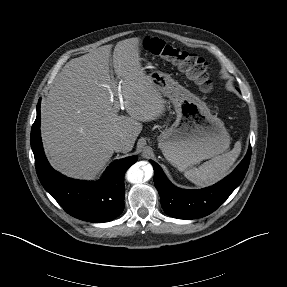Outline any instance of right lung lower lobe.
<instances>
[{"instance_id": "1", "label": "right lung lower lobe", "mask_w": 287, "mask_h": 287, "mask_svg": "<svg viewBox=\"0 0 287 287\" xmlns=\"http://www.w3.org/2000/svg\"><path fill=\"white\" fill-rule=\"evenodd\" d=\"M40 102L31 129V148L38 178L51 196L71 216L88 222H108L124 209V174L136 156L116 160L97 182L73 180L55 171L48 163L40 137Z\"/></svg>"}]
</instances>
